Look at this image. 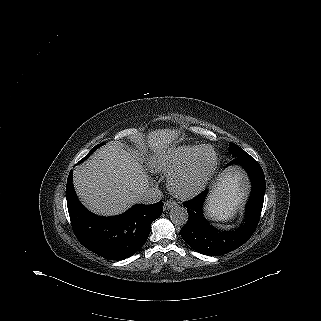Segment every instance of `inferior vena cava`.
Wrapping results in <instances>:
<instances>
[{
  "instance_id": "obj_1",
  "label": "inferior vena cava",
  "mask_w": 321,
  "mask_h": 321,
  "mask_svg": "<svg viewBox=\"0 0 321 321\" xmlns=\"http://www.w3.org/2000/svg\"><path fill=\"white\" fill-rule=\"evenodd\" d=\"M162 192L157 188H147L140 196V202L143 204H154L160 201Z\"/></svg>"
}]
</instances>
